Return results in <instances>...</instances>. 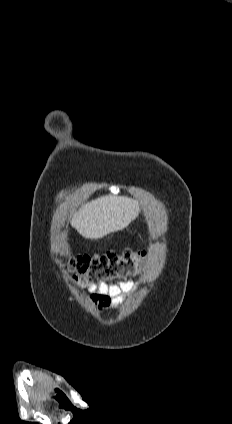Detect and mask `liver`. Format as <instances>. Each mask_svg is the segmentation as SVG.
<instances>
[{"label":"liver","mask_w":232,"mask_h":424,"mask_svg":"<svg viewBox=\"0 0 232 424\" xmlns=\"http://www.w3.org/2000/svg\"><path fill=\"white\" fill-rule=\"evenodd\" d=\"M139 203L125 196L106 195L83 205L71 225L87 239H99L126 228L139 214Z\"/></svg>","instance_id":"6515ba94"}]
</instances>
